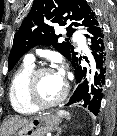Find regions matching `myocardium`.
Here are the masks:
<instances>
[{
    "instance_id": "f54148a6",
    "label": "myocardium",
    "mask_w": 117,
    "mask_h": 136,
    "mask_svg": "<svg viewBox=\"0 0 117 136\" xmlns=\"http://www.w3.org/2000/svg\"><path fill=\"white\" fill-rule=\"evenodd\" d=\"M45 72H55V70L51 67H48V66L37 67L30 74V76L27 80V84H26V98H27L28 102L30 103V105L37 110L49 109V108L59 105L61 102H63L65 100V98L67 97L68 92H69V84L65 79H63L64 80V89H63L61 95L57 99H55L51 102H46V103L41 102L37 97V81H38V78L40 77V75Z\"/></svg>"
}]
</instances>
